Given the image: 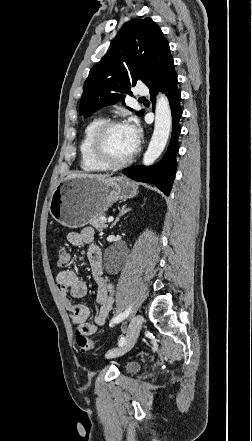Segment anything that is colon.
I'll list each match as a JSON object with an SVG mask.
<instances>
[{"instance_id":"colon-1","label":"colon","mask_w":252,"mask_h":441,"mask_svg":"<svg viewBox=\"0 0 252 441\" xmlns=\"http://www.w3.org/2000/svg\"><path fill=\"white\" fill-rule=\"evenodd\" d=\"M69 262V250L65 246H59L57 249V265L63 267ZM76 342L82 352H87L92 347L91 341L79 329L76 331Z\"/></svg>"}]
</instances>
